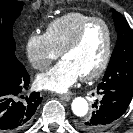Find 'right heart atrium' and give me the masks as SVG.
<instances>
[{
  "label": "right heart atrium",
  "instance_id": "obj_1",
  "mask_svg": "<svg viewBox=\"0 0 133 133\" xmlns=\"http://www.w3.org/2000/svg\"><path fill=\"white\" fill-rule=\"evenodd\" d=\"M26 53L32 67L40 71L47 69L60 54L50 43L46 34L38 32L29 36Z\"/></svg>",
  "mask_w": 133,
  "mask_h": 133
}]
</instances>
